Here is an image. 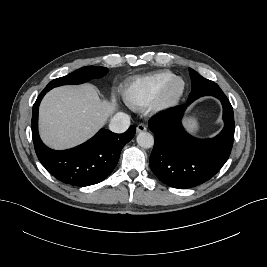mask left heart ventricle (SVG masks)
Segmentation results:
<instances>
[{
  "label": "left heart ventricle",
  "instance_id": "left-heart-ventricle-1",
  "mask_svg": "<svg viewBox=\"0 0 267 267\" xmlns=\"http://www.w3.org/2000/svg\"><path fill=\"white\" fill-rule=\"evenodd\" d=\"M180 87H181V83H180V82H176V83L173 85V87H172V89H171V92H172L173 94L177 93V92L180 90Z\"/></svg>",
  "mask_w": 267,
  "mask_h": 267
}]
</instances>
